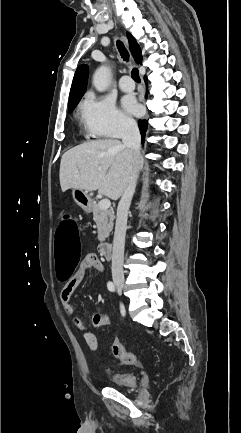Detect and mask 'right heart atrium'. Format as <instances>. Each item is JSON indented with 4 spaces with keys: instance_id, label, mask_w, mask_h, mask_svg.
I'll list each match as a JSON object with an SVG mask.
<instances>
[{
    "instance_id": "obj_1",
    "label": "right heart atrium",
    "mask_w": 241,
    "mask_h": 433,
    "mask_svg": "<svg viewBox=\"0 0 241 433\" xmlns=\"http://www.w3.org/2000/svg\"><path fill=\"white\" fill-rule=\"evenodd\" d=\"M80 117L88 135L117 137L135 129V122L107 97L88 94L80 105Z\"/></svg>"
}]
</instances>
